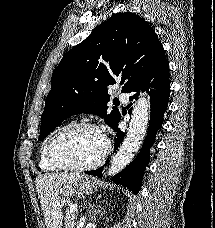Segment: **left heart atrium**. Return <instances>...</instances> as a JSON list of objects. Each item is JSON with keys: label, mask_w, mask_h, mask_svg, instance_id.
<instances>
[{"label": "left heart atrium", "mask_w": 215, "mask_h": 228, "mask_svg": "<svg viewBox=\"0 0 215 228\" xmlns=\"http://www.w3.org/2000/svg\"><path fill=\"white\" fill-rule=\"evenodd\" d=\"M103 138H104V140H106V136L105 135H103Z\"/></svg>", "instance_id": "obj_1"}]
</instances>
